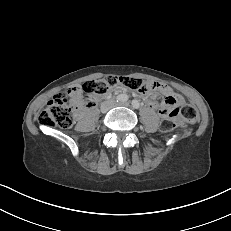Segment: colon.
I'll return each instance as SVG.
<instances>
[{"label": "colon", "instance_id": "1", "mask_svg": "<svg viewBox=\"0 0 231 231\" xmlns=\"http://www.w3.org/2000/svg\"><path fill=\"white\" fill-rule=\"evenodd\" d=\"M113 87L138 93L153 95L157 86L147 84L143 80L130 76H108L100 80L85 82L81 89L82 98L76 100L69 98L67 94L56 95L40 113L38 121L44 127L69 128L74 122V113L82 106L90 107L94 100L107 93ZM198 117V112L191 104H184L180 108H174L165 113L162 121V129L165 132L174 130L180 125L193 122Z\"/></svg>", "mask_w": 231, "mask_h": 231}]
</instances>
